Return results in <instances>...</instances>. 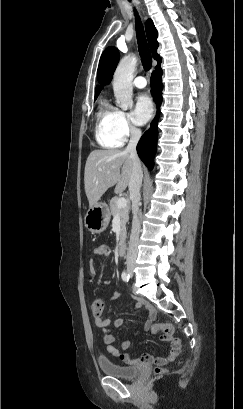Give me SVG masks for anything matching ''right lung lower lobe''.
<instances>
[{"mask_svg":"<svg viewBox=\"0 0 243 409\" xmlns=\"http://www.w3.org/2000/svg\"><path fill=\"white\" fill-rule=\"evenodd\" d=\"M161 60L158 62L156 66V71H154L151 75V91L153 97L157 100L158 110L159 106L162 101V81L161 75L162 70L160 67ZM157 121H158V114L155 120L152 122L151 127L147 130L141 137L140 141L137 145V153L140 159L145 163V165L151 170L154 165V156L156 152V144H157Z\"/></svg>","mask_w":243,"mask_h":409,"instance_id":"right-lung-lower-lobe-1","label":"right lung lower lobe"}]
</instances>
